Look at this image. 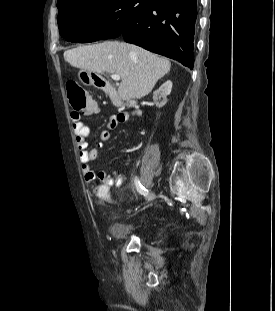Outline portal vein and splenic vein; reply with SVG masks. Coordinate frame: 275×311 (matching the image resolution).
I'll return each mask as SVG.
<instances>
[{"label": "portal vein and splenic vein", "mask_w": 275, "mask_h": 311, "mask_svg": "<svg viewBox=\"0 0 275 311\" xmlns=\"http://www.w3.org/2000/svg\"><path fill=\"white\" fill-rule=\"evenodd\" d=\"M111 78L114 80V81H119L121 79V76L118 75V74H112L111 75Z\"/></svg>", "instance_id": "1"}]
</instances>
